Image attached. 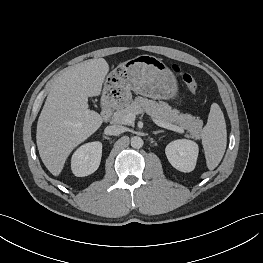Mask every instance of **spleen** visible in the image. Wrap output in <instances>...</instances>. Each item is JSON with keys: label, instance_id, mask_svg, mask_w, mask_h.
Returning <instances> with one entry per match:
<instances>
[{"label": "spleen", "instance_id": "1", "mask_svg": "<svg viewBox=\"0 0 263 263\" xmlns=\"http://www.w3.org/2000/svg\"><path fill=\"white\" fill-rule=\"evenodd\" d=\"M208 169H215L226 150L227 130L223 112L217 103L210 108L207 124L201 134Z\"/></svg>", "mask_w": 263, "mask_h": 263}]
</instances>
